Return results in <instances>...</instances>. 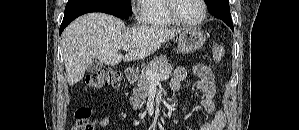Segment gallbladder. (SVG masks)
<instances>
[{"instance_id": "gallbladder-1", "label": "gallbladder", "mask_w": 299, "mask_h": 130, "mask_svg": "<svg viewBox=\"0 0 299 130\" xmlns=\"http://www.w3.org/2000/svg\"><path fill=\"white\" fill-rule=\"evenodd\" d=\"M103 67V62L99 61L98 59H93L87 66L88 73H95L101 70Z\"/></svg>"}]
</instances>
